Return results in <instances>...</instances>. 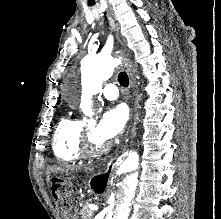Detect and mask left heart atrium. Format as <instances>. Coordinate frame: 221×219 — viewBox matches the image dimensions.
<instances>
[{"mask_svg":"<svg viewBox=\"0 0 221 219\" xmlns=\"http://www.w3.org/2000/svg\"><path fill=\"white\" fill-rule=\"evenodd\" d=\"M128 121V110L124 105L108 108L95 129V136L99 141H109L124 129Z\"/></svg>","mask_w":221,"mask_h":219,"instance_id":"39dd6f15","label":"left heart atrium"}]
</instances>
